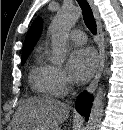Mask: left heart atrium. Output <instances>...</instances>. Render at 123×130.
I'll return each instance as SVG.
<instances>
[{"mask_svg": "<svg viewBox=\"0 0 123 130\" xmlns=\"http://www.w3.org/2000/svg\"><path fill=\"white\" fill-rule=\"evenodd\" d=\"M98 59L91 48L75 50L69 59V68L72 77L80 83L87 81L97 68Z\"/></svg>", "mask_w": 123, "mask_h": 130, "instance_id": "left-heart-atrium-1", "label": "left heart atrium"}]
</instances>
